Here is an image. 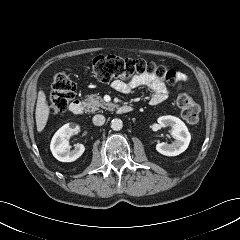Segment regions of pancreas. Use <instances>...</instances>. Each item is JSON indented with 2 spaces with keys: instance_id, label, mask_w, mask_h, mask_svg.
I'll return each mask as SVG.
<instances>
[{
  "instance_id": "cf45deb5",
  "label": "pancreas",
  "mask_w": 240,
  "mask_h": 240,
  "mask_svg": "<svg viewBox=\"0 0 240 240\" xmlns=\"http://www.w3.org/2000/svg\"><path fill=\"white\" fill-rule=\"evenodd\" d=\"M85 105L88 108L89 112H95L99 110V108L113 110L115 105L112 103H106L100 96L95 94H90L85 99Z\"/></svg>"
}]
</instances>
